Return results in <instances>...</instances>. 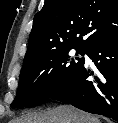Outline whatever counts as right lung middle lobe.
Instances as JSON below:
<instances>
[{
    "instance_id": "right-lung-middle-lobe-1",
    "label": "right lung middle lobe",
    "mask_w": 118,
    "mask_h": 123,
    "mask_svg": "<svg viewBox=\"0 0 118 123\" xmlns=\"http://www.w3.org/2000/svg\"><path fill=\"white\" fill-rule=\"evenodd\" d=\"M72 49L82 56L86 53L78 48H62L23 64L17 94L11 107L39 103L65 85L85 61L83 57H73L70 54Z\"/></svg>"
}]
</instances>
